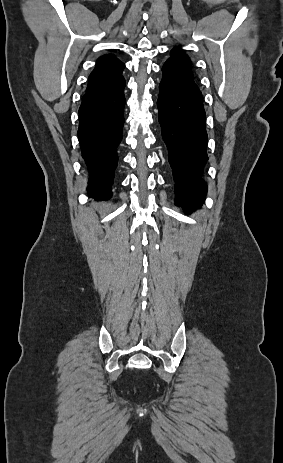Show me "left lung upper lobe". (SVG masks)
Listing matches in <instances>:
<instances>
[{
	"label": "left lung upper lobe",
	"mask_w": 283,
	"mask_h": 463,
	"mask_svg": "<svg viewBox=\"0 0 283 463\" xmlns=\"http://www.w3.org/2000/svg\"><path fill=\"white\" fill-rule=\"evenodd\" d=\"M168 60L174 62L175 64L192 74L190 59L183 52L182 49L178 47L173 48V50L171 51V58H169Z\"/></svg>",
	"instance_id": "obj_1"
}]
</instances>
